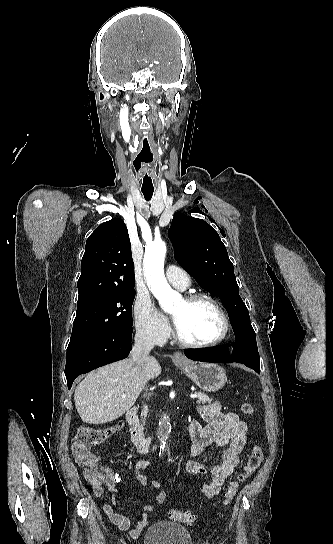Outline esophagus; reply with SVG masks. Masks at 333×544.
Masks as SVG:
<instances>
[{"mask_svg": "<svg viewBox=\"0 0 333 544\" xmlns=\"http://www.w3.org/2000/svg\"><path fill=\"white\" fill-rule=\"evenodd\" d=\"M173 358L177 361H185L184 356L180 352H175Z\"/></svg>", "mask_w": 333, "mask_h": 544, "instance_id": "1", "label": "esophagus"}]
</instances>
